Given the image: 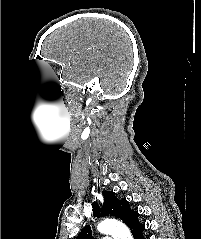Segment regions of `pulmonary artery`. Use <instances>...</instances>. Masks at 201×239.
<instances>
[{
  "mask_svg": "<svg viewBox=\"0 0 201 239\" xmlns=\"http://www.w3.org/2000/svg\"><path fill=\"white\" fill-rule=\"evenodd\" d=\"M101 239H113L111 236H103Z\"/></svg>",
  "mask_w": 201,
  "mask_h": 239,
  "instance_id": "obj_1",
  "label": "pulmonary artery"
}]
</instances>
